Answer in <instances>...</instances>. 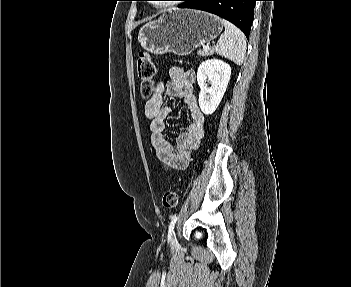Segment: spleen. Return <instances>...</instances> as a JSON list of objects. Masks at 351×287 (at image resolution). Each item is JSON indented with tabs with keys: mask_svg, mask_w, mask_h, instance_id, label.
I'll return each instance as SVG.
<instances>
[{
	"mask_svg": "<svg viewBox=\"0 0 351 287\" xmlns=\"http://www.w3.org/2000/svg\"><path fill=\"white\" fill-rule=\"evenodd\" d=\"M222 24L225 27V31L215 46V52L233 61L236 65H241L246 53L245 35L229 21L223 19Z\"/></svg>",
	"mask_w": 351,
	"mask_h": 287,
	"instance_id": "3e777b00",
	"label": "spleen"
}]
</instances>
